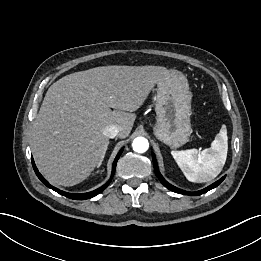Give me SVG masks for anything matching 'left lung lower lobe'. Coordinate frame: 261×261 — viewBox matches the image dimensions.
<instances>
[{"mask_svg":"<svg viewBox=\"0 0 261 261\" xmlns=\"http://www.w3.org/2000/svg\"><path fill=\"white\" fill-rule=\"evenodd\" d=\"M152 159H153V165H154V171H155V174L156 176L158 177V179L161 181V183L167 187L169 190L173 191V192H176V193H179V194H184V195H189V196H197V195H201L203 193H206L208 192L209 190L217 187L224 179L226 176H223L221 179H219L218 181H216L215 183H213L212 185L202 189V190H199V191H196V192H187V191H184V190H181L179 188H176L174 186H172L171 184H169L163 177L162 175L160 174L159 170H158V166H157V162H156V159H155V156L154 154H152Z\"/></svg>","mask_w":261,"mask_h":261,"instance_id":"left-lung-lower-lobe-1","label":"left lung lower lobe"}]
</instances>
